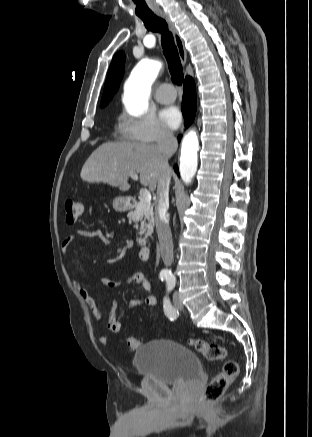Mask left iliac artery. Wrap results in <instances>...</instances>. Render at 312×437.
Segmentation results:
<instances>
[{
    "label": "left iliac artery",
    "instance_id": "obj_1",
    "mask_svg": "<svg viewBox=\"0 0 312 437\" xmlns=\"http://www.w3.org/2000/svg\"><path fill=\"white\" fill-rule=\"evenodd\" d=\"M166 283H167V292H170L175 287V278H172V277L167 278L166 277ZM163 307H164L165 314L170 319L176 318V316H177L176 310L171 305V302L167 296L164 297Z\"/></svg>",
    "mask_w": 312,
    "mask_h": 437
}]
</instances>
